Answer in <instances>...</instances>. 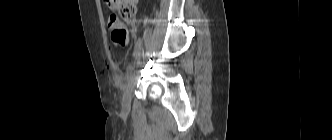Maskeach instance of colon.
Returning a JSON list of instances; mask_svg holds the SVG:
<instances>
[{
	"instance_id": "1",
	"label": "colon",
	"mask_w": 332,
	"mask_h": 140,
	"mask_svg": "<svg viewBox=\"0 0 332 140\" xmlns=\"http://www.w3.org/2000/svg\"><path fill=\"white\" fill-rule=\"evenodd\" d=\"M108 7L117 12L124 19H131L137 11L138 0H104ZM108 27L111 30V39L117 46H124L127 43L128 34L124 24L116 15L108 19Z\"/></svg>"
}]
</instances>
